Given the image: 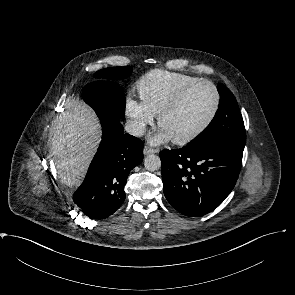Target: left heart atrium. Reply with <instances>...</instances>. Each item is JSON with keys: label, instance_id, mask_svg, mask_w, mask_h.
<instances>
[{"label": "left heart atrium", "instance_id": "1", "mask_svg": "<svg viewBox=\"0 0 295 295\" xmlns=\"http://www.w3.org/2000/svg\"><path fill=\"white\" fill-rule=\"evenodd\" d=\"M171 140H173L172 136L162 127L149 139L150 143L154 145L166 143Z\"/></svg>", "mask_w": 295, "mask_h": 295}]
</instances>
